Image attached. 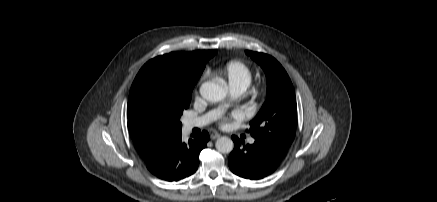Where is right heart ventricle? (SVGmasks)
<instances>
[{
    "mask_svg": "<svg viewBox=\"0 0 437 202\" xmlns=\"http://www.w3.org/2000/svg\"><path fill=\"white\" fill-rule=\"evenodd\" d=\"M219 72L228 80L232 89H246L252 81V71L250 67L240 60L228 61L219 69Z\"/></svg>",
    "mask_w": 437,
    "mask_h": 202,
    "instance_id": "right-heart-ventricle-1",
    "label": "right heart ventricle"
}]
</instances>
